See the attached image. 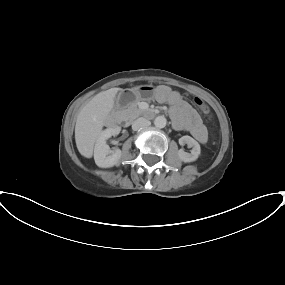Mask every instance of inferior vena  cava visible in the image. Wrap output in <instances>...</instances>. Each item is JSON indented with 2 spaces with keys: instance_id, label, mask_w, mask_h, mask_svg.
I'll list each match as a JSON object with an SVG mask.
<instances>
[{
  "instance_id": "obj_1",
  "label": "inferior vena cava",
  "mask_w": 285,
  "mask_h": 285,
  "mask_svg": "<svg viewBox=\"0 0 285 285\" xmlns=\"http://www.w3.org/2000/svg\"><path fill=\"white\" fill-rule=\"evenodd\" d=\"M150 121L145 118H138L132 124V129L134 131L139 130L140 128L148 127L150 125Z\"/></svg>"
}]
</instances>
